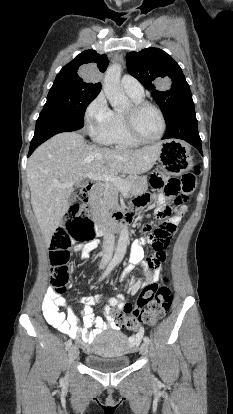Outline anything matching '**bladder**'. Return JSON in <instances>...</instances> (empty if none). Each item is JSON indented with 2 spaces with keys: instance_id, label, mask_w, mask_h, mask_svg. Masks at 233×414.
Segmentation results:
<instances>
[{
  "instance_id": "bladder-1",
  "label": "bladder",
  "mask_w": 233,
  "mask_h": 414,
  "mask_svg": "<svg viewBox=\"0 0 233 414\" xmlns=\"http://www.w3.org/2000/svg\"><path fill=\"white\" fill-rule=\"evenodd\" d=\"M128 350L127 336L118 330H108L94 342L92 352L85 357V364L99 372L121 370L130 364Z\"/></svg>"
}]
</instances>
